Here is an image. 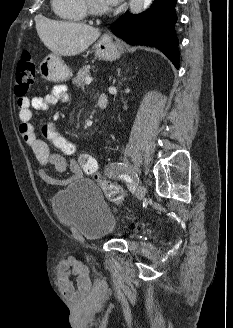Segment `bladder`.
Listing matches in <instances>:
<instances>
[{
	"mask_svg": "<svg viewBox=\"0 0 233 328\" xmlns=\"http://www.w3.org/2000/svg\"><path fill=\"white\" fill-rule=\"evenodd\" d=\"M58 216L75 228L85 239L99 240L114 231L116 219L99 187L82 179L52 197Z\"/></svg>",
	"mask_w": 233,
	"mask_h": 328,
	"instance_id": "31cf9c89",
	"label": "bladder"
}]
</instances>
